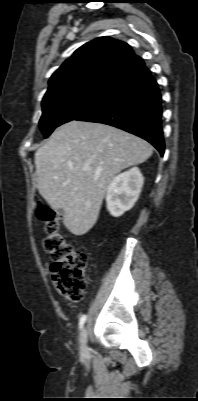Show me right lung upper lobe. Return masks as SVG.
I'll list each match as a JSON object with an SVG mask.
<instances>
[{"label": "right lung upper lobe", "instance_id": "obj_1", "mask_svg": "<svg viewBox=\"0 0 198 401\" xmlns=\"http://www.w3.org/2000/svg\"><path fill=\"white\" fill-rule=\"evenodd\" d=\"M143 64L128 44L110 37L94 39L53 73L44 98L84 86L110 87Z\"/></svg>", "mask_w": 198, "mask_h": 401}]
</instances>
